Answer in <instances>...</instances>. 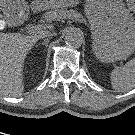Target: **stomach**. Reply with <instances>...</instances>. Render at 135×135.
Segmentation results:
<instances>
[{
  "mask_svg": "<svg viewBox=\"0 0 135 135\" xmlns=\"http://www.w3.org/2000/svg\"><path fill=\"white\" fill-rule=\"evenodd\" d=\"M13 10L21 17L27 13L24 0H10ZM55 7L58 0H45ZM85 14L89 20L93 50L105 62L124 60L135 50V19L123 0H86Z\"/></svg>",
  "mask_w": 135,
  "mask_h": 135,
  "instance_id": "0dacf381",
  "label": "stomach"
}]
</instances>
